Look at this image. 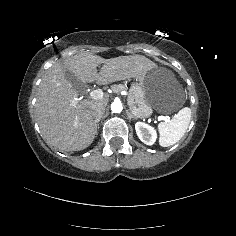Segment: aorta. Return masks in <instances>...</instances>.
I'll use <instances>...</instances> for the list:
<instances>
[{
  "label": "aorta",
  "instance_id": "1",
  "mask_svg": "<svg viewBox=\"0 0 236 236\" xmlns=\"http://www.w3.org/2000/svg\"><path fill=\"white\" fill-rule=\"evenodd\" d=\"M111 110L114 113H119L122 111V103L119 101H114L113 103H111Z\"/></svg>",
  "mask_w": 236,
  "mask_h": 236
}]
</instances>
